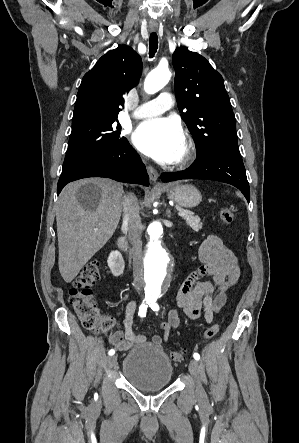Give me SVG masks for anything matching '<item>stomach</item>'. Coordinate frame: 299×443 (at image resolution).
Listing matches in <instances>:
<instances>
[{
    "mask_svg": "<svg viewBox=\"0 0 299 443\" xmlns=\"http://www.w3.org/2000/svg\"><path fill=\"white\" fill-rule=\"evenodd\" d=\"M169 199L186 208L198 206L202 200L199 190L189 184L170 183L162 188Z\"/></svg>",
    "mask_w": 299,
    "mask_h": 443,
    "instance_id": "obj_1",
    "label": "stomach"
}]
</instances>
